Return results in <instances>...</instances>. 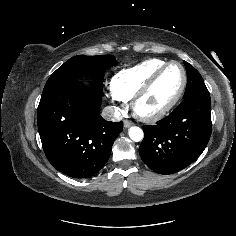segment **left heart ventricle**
<instances>
[{
  "mask_svg": "<svg viewBox=\"0 0 236 236\" xmlns=\"http://www.w3.org/2000/svg\"><path fill=\"white\" fill-rule=\"evenodd\" d=\"M182 83V71L171 65L158 79L150 92L139 102L138 109L151 114L165 107L176 95Z\"/></svg>",
  "mask_w": 236,
  "mask_h": 236,
  "instance_id": "b2bd125f",
  "label": "left heart ventricle"
}]
</instances>
